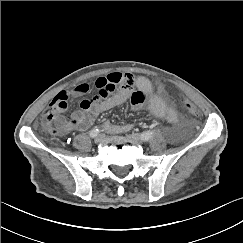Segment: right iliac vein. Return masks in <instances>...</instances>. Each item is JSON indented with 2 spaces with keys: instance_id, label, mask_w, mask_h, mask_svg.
Listing matches in <instances>:
<instances>
[{
  "instance_id": "63e3f726",
  "label": "right iliac vein",
  "mask_w": 243,
  "mask_h": 243,
  "mask_svg": "<svg viewBox=\"0 0 243 243\" xmlns=\"http://www.w3.org/2000/svg\"><path fill=\"white\" fill-rule=\"evenodd\" d=\"M103 138H104V135H103V134H99V135H97V136L94 138V141H95L96 143H99V142H101V141L103 140Z\"/></svg>"
}]
</instances>
